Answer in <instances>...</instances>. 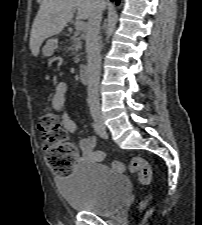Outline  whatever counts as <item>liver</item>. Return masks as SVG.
<instances>
[{"label":"liver","mask_w":202,"mask_h":225,"mask_svg":"<svg viewBox=\"0 0 202 225\" xmlns=\"http://www.w3.org/2000/svg\"><path fill=\"white\" fill-rule=\"evenodd\" d=\"M97 0H42L32 25L30 50L34 56L39 54L43 41L59 34L65 25L73 19L74 9L78 19H89ZM105 7V1L100 0Z\"/></svg>","instance_id":"6515ba94"}]
</instances>
